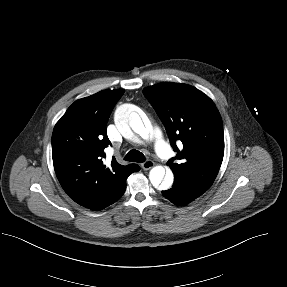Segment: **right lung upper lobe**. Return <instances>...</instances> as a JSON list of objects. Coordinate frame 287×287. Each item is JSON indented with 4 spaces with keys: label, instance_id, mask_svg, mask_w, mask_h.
<instances>
[{
    "label": "right lung upper lobe",
    "instance_id": "right-lung-upper-lobe-1",
    "mask_svg": "<svg viewBox=\"0 0 287 287\" xmlns=\"http://www.w3.org/2000/svg\"><path fill=\"white\" fill-rule=\"evenodd\" d=\"M124 90H103L75 101L57 122L52 134V158L58 180L79 205L101 210L116 202L126 179L140 170L120 165L113 157L106 166L104 149L110 144L106 124Z\"/></svg>",
    "mask_w": 287,
    "mask_h": 287
}]
</instances>
